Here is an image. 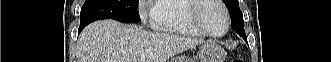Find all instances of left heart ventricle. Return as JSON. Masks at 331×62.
Listing matches in <instances>:
<instances>
[{
	"label": "left heart ventricle",
	"mask_w": 331,
	"mask_h": 62,
	"mask_svg": "<svg viewBox=\"0 0 331 62\" xmlns=\"http://www.w3.org/2000/svg\"><path fill=\"white\" fill-rule=\"evenodd\" d=\"M203 26L211 33L219 34L225 28V20L221 8L212 2L207 3L199 11Z\"/></svg>",
	"instance_id": "obj_1"
}]
</instances>
